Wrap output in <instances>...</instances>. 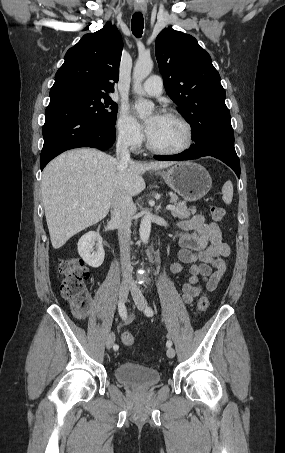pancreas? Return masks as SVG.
Returning <instances> with one entry per match:
<instances>
[{
    "label": "pancreas",
    "instance_id": "1",
    "mask_svg": "<svg viewBox=\"0 0 285 453\" xmlns=\"http://www.w3.org/2000/svg\"><path fill=\"white\" fill-rule=\"evenodd\" d=\"M170 201L175 206V209L171 210V214L174 218L189 219L191 215H194L196 213L195 207L188 208L186 204L179 202L178 197L175 195L171 196Z\"/></svg>",
    "mask_w": 285,
    "mask_h": 453
}]
</instances>
